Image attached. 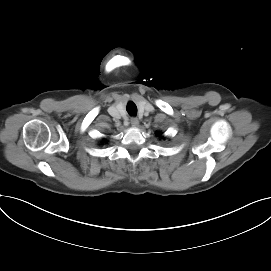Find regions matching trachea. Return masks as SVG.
<instances>
[{
	"label": "trachea",
	"instance_id": "trachea-1",
	"mask_svg": "<svg viewBox=\"0 0 271 271\" xmlns=\"http://www.w3.org/2000/svg\"><path fill=\"white\" fill-rule=\"evenodd\" d=\"M126 109L131 116H135L137 114V107L133 102H129Z\"/></svg>",
	"mask_w": 271,
	"mask_h": 271
}]
</instances>
